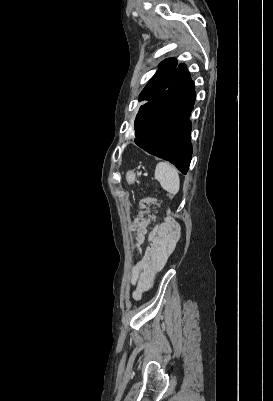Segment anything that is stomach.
<instances>
[{"instance_id": "0dacf381", "label": "stomach", "mask_w": 273, "mask_h": 401, "mask_svg": "<svg viewBox=\"0 0 273 401\" xmlns=\"http://www.w3.org/2000/svg\"><path fill=\"white\" fill-rule=\"evenodd\" d=\"M126 180H127L128 184H134V182H136L137 176H136L134 170H127Z\"/></svg>"}]
</instances>
